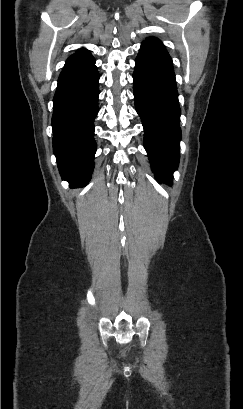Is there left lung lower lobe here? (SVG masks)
Instances as JSON below:
<instances>
[{
    "instance_id": "obj_1",
    "label": "left lung lower lobe",
    "mask_w": 243,
    "mask_h": 409,
    "mask_svg": "<svg viewBox=\"0 0 243 409\" xmlns=\"http://www.w3.org/2000/svg\"><path fill=\"white\" fill-rule=\"evenodd\" d=\"M135 63L133 93L144 127V147L156 179L172 184L181 138L172 59L162 42L153 39L143 41Z\"/></svg>"
}]
</instances>
